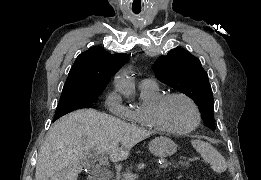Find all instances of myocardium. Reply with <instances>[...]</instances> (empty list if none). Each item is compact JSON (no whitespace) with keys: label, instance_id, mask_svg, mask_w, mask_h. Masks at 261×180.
Instances as JSON below:
<instances>
[{"label":"myocardium","instance_id":"1","mask_svg":"<svg viewBox=\"0 0 261 180\" xmlns=\"http://www.w3.org/2000/svg\"><path fill=\"white\" fill-rule=\"evenodd\" d=\"M174 98H180L186 101L193 108L195 115L192 125L185 131L178 133L164 131L157 121L149 117L151 114L155 113L160 107L164 106L169 100ZM201 120L202 113L200 107L191 96L183 92H170L161 95L155 101L154 105L142 109L138 113L137 122L139 126L148 134V136H162L166 138L179 139L184 138L193 133L200 125Z\"/></svg>","mask_w":261,"mask_h":180}]
</instances>
